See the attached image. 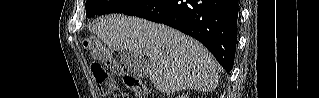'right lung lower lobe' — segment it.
Instances as JSON below:
<instances>
[{"label":"right lung lower lobe","instance_id":"98d812e1","mask_svg":"<svg viewBox=\"0 0 319 98\" xmlns=\"http://www.w3.org/2000/svg\"><path fill=\"white\" fill-rule=\"evenodd\" d=\"M238 0H148L124 14L163 23L196 38L227 73L237 43Z\"/></svg>","mask_w":319,"mask_h":98}]
</instances>
